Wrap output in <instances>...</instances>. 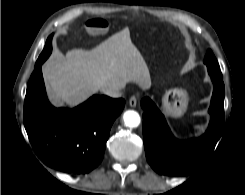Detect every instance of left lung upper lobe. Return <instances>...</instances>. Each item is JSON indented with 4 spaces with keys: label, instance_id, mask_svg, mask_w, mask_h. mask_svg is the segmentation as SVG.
Masks as SVG:
<instances>
[{
    "label": "left lung upper lobe",
    "instance_id": "obj_1",
    "mask_svg": "<svg viewBox=\"0 0 245 195\" xmlns=\"http://www.w3.org/2000/svg\"><path fill=\"white\" fill-rule=\"evenodd\" d=\"M204 63L207 65L208 72L211 76L222 78V74L220 71L219 64L213 54V52L209 49L205 58Z\"/></svg>",
    "mask_w": 245,
    "mask_h": 195
}]
</instances>
